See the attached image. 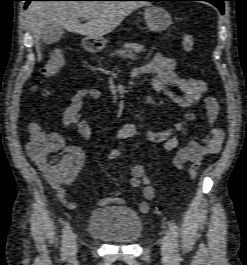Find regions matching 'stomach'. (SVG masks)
Here are the masks:
<instances>
[{
    "mask_svg": "<svg viewBox=\"0 0 247 265\" xmlns=\"http://www.w3.org/2000/svg\"><path fill=\"white\" fill-rule=\"evenodd\" d=\"M144 19L147 27L151 31L156 32L167 29L172 23L171 15L164 8L153 5L145 9ZM106 43L105 39H96L94 43L90 44V48L101 50L105 47Z\"/></svg>",
    "mask_w": 247,
    "mask_h": 265,
    "instance_id": "obj_1",
    "label": "stomach"
}]
</instances>
